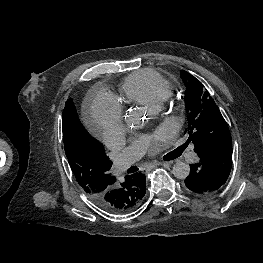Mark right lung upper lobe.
Segmentation results:
<instances>
[{
  "instance_id": "right-lung-upper-lobe-1",
  "label": "right lung upper lobe",
  "mask_w": 263,
  "mask_h": 263,
  "mask_svg": "<svg viewBox=\"0 0 263 263\" xmlns=\"http://www.w3.org/2000/svg\"><path fill=\"white\" fill-rule=\"evenodd\" d=\"M111 177L112 176L109 175L107 180H109ZM128 191H129V195H128L127 203L125 205H123L120 209H118V211L116 213H125V212H129V211L135 209L138 206V204L140 203L143 196L145 195L146 188L144 185L130 184L128 186Z\"/></svg>"
}]
</instances>
